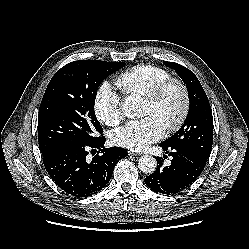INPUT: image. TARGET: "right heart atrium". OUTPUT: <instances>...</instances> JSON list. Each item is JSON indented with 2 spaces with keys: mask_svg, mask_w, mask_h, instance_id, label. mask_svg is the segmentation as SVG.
Listing matches in <instances>:
<instances>
[{
  "mask_svg": "<svg viewBox=\"0 0 249 249\" xmlns=\"http://www.w3.org/2000/svg\"><path fill=\"white\" fill-rule=\"evenodd\" d=\"M93 110L97 119L108 126L117 125L121 121V100L109 83L104 82L97 89Z\"/></svg>",
  "mask_w": 249,
  "mask_h": 249,
  "instance_id": "obj_1",
  "label": "right heart atrium"
}]
</instances>
